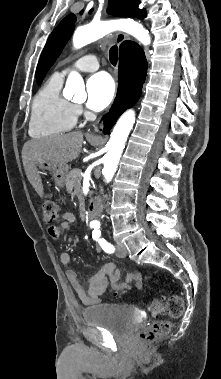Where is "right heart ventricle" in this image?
<instances>
[{"label":"right heart ventricle","instance_id":"right-heart-ventricle-1","mask_svg":"<svg viewBox=\"0 0 221 379\" xmlns=\"http://www.w3.org/2000/svg\"><path fill=\"white\" fill-rule=\"evenodd\" d=\"M62 83L63 77L52 75L33 98L28 129L30 136H56L75 126L74 105L61 94Z\"/></svg>","mask_w":221,"mask_h":379}]
</instances>
